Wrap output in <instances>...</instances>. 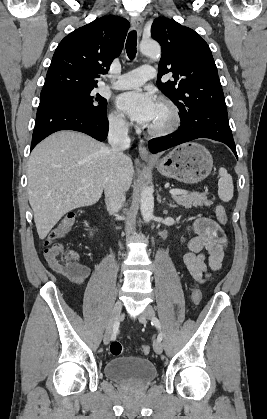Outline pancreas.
Returning a JSON list of instances; mask_svg holds the SVG:
<instances>
[{"label": "pancreas", "mask_w": 267, "mask_h": 419, "mask_svg": "<svg viewBox=\"0 0 267 419\" xmlns=\"http://www.w3.org/2000/svg\"><path fill=\"white\" fill-rule=\"evenodd\" d=\"M173 198L177 202L178 205H181L185 208H191L192 206L202 207L203 205L210 206L212 204V202L207 199L205 194L197 193V192H191V193L187 192L186 194H183L180 196L179 195L173 196Z\"/></svg>", "instance_id": "pancreas-1"}]
</instances>
